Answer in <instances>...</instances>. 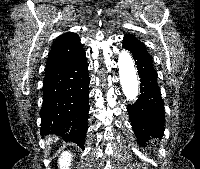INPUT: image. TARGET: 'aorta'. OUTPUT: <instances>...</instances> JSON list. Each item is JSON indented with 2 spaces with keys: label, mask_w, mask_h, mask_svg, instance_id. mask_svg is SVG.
I'll return each mask as SVG.
<instances>
[{
  "label": "aorta",
  "mask_w": 200,
  "mask_h": 169,
  "mask_svg": "<svg viewBox=\"0 0 200 169\" xmlns=\"http://www.w3.org/2000/svg\"><path fill=\"white\" fill-rule=\"evenodd\" d=\"M120 83L129 102H134L139 92V82L131 54L122 50L118 56Z\"/></svg>",
  "instance_id": "762f6f07"
}]
</instances>
